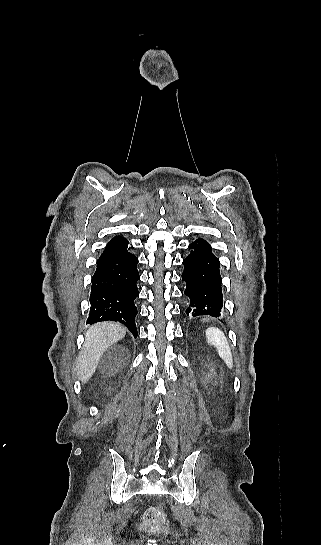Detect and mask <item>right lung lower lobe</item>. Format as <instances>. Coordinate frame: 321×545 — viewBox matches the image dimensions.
<instances>
[{"label": "right lung lower lobe", "mask_w": 321, "mask_h": 545, "mask_svg": "<svg viewBox=\"0 0 321 545\" xmlns=\"http://www.w3.org/2000/svg\"><path fill=\"white\" fill-rule=\"evenodd\" d=\"M128 244L122 236H115L98 259L92 277L87 324L117 321L124 324L136 338L134 319L137 308L134 300L138 296L136 283L140 276L138 258L127 250Z\"/></svg>", "instance_id": "1"}]
</instances>
